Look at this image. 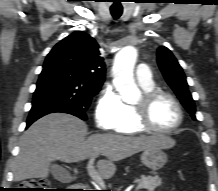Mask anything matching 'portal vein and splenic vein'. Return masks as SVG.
<instances>
[{
    "label": "portal vein and splenic vein",
    "instance_id": "1",
    "mask_svg": "<svg viewBox=\"0 0 218 191\" xmlns=\"http://www.w3.org/2000/svg\"><path fill=\"white\" fill-rule=\"evenodd\" d=\"M94 160H95V157H91L89 160V163L87 165L88 174L100 187L105 188V183L103 181V178L93 166Z\"/></svg>",
    "mask_w": 218,
    "mask_h": 191
}]
</instances>
